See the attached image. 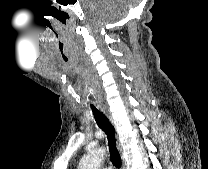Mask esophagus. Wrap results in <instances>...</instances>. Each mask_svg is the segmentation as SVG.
<instances>
[{
    "instance_id": "1",
    "label": "esophagus",
    "mask_w": 208,
    "mask_h": 169,
    "mask_svg": "<svg viewBox=\"0 0 208 169\" xmlns=\"http://www.w3.org/2000/svg\"><path fill=\"white\" fill-rule=\"evenodd\" d=\"M118 148L121 150L120 143H118ZM122 169H126V166H125V163L124 162L122 163Z\"/></svg>"
}]
</instances>
